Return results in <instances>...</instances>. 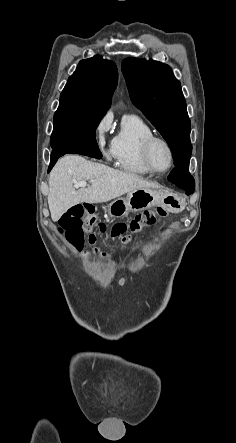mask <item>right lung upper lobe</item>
Here are the masks:
<instances>
[{
  "mask_svg": "<svg viewBox=\"0 0 236 443\" xmlns=\"http://www.w3.org/2000/svg\"><path fill=\"white\" fill-rule=\"evenodd\" d=\"M117 80L118 71L113 61L100 55L81 60L60 95L59 108L106 112Z\"/></svg>",
  "mask_w": 236,
  "mask_h": 443,
  "instance_id": "obj_1",
  "label": "right lung upper lobe"
}]
</instances>
